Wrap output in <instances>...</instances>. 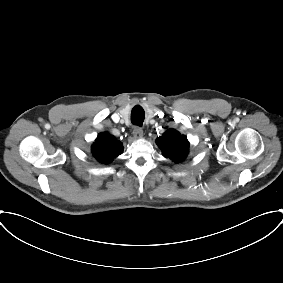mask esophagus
Wrapping results in <instances>:
<instances>
[{
    "mask_svg": "<svg viewBox=\"0 0 283 283\" xmlns=\"http://www.w3.org/2000/svg\"><path fill=\"white\" fill-rule=\"evenodd\" d=\"M133 135L135 138H141L143 136V130L141 127H134L133 129Z\"/></svg>",
    "mask_w": 283,
    "mask_h": 283,
    "instance_id": "34e87169",
    "label": "esophagus"
}]
</instances>
